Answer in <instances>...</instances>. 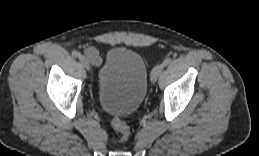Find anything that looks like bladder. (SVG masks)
<instances>
[{"mask_svg": "<svg viewBox=\"0 0 259 156\" xmlns=\"http://www.w3.org/2000/svg\"><path fill=\"white\" fill-rule=\"evenodd\" d=\"M147 78V66L137 52L123 47L110 49L97 74L102 108L118 117L133 114L145 98Z\"/></svg>", "mask_w": 259, "mask_h": 156, "instance_id": "1", "label": "bladder"}]
</instances>
